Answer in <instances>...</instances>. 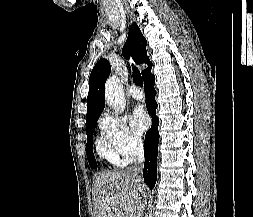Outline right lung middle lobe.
I'll list each match as a JSON object with an SVG mask.
<instances>
[{
	"mask_svg": "<svg viewBox=\"0 0 253 217\" xmlns=\"http://www.w3.org/2000/svg\"><path fill=\"white\" fill-rule=\"evenodd\" d=\"M97 120L98 118L88 121L86 125V134L88 137L86 153H87V159L91 168H94L97 166L96 160L93 156V146H92L93 132L95 130Z\"/></svg>",
	"mask_w": 253,
	"mask_h": 217,
	"instance_id": "right-lung-middle-lobe-1",
	"label": "right lung middle lobe"
}]
</instances>
